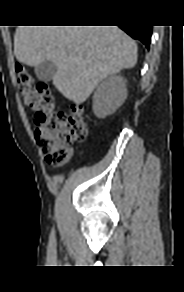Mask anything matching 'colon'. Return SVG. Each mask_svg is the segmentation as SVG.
Returning <instances> with one entry per match:
<instances>
[{
	"label": "colon",
	"instance_id": "1",
	"mask_svg": "<svg viewBox=\"0 0 184 292\" xmlns=\"http://www.w3.org/2000/svg\"><path fill=\"white\" fill-rule=\"evenodd\" d=\"M15 74L24 102L35 110V138L45 160L51 165L67 162L72 154V144L84 141L88 134L82 107L74 105L67 113H57L54 96L46 83L35 82L31 73L20 64H16Z\"/></svg>",
	"mask_w": 184,
	"mask_h": 292
}]
</instances>
